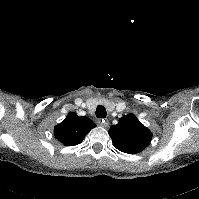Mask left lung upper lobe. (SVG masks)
<instances>
[{
	"label": "left lung upper lobe",
	"mask_w": 199,
	"mask_h": 199,
	"mask_svg": "<svg viewBox=\"0 0 199 199\" xmlns=\"http://www.w3.org/2000/svg\"><path fill=\"white\" fill-rule=\"evenodd\" d=\"M109 135L115 148L135 154L144 150L151 141L152 134L134 114L129 113L119 119L117 125H112Z\"/></svg>",
	"instance_id": "obj_1"
}]
</instances>
